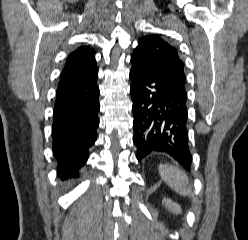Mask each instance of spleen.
<instances>
[{
	"label": "spleen",
	"mask_w": 248,
	"mask_h": 240,
	"mask_svg": "<svg viewBox=\"0 0 248 240\" xmlns=\"http://www.w3.org/2000/svg\"><path fill=\"white\" fill-rule=\"evenodd\" d=\"M158 171L163 181L175 192L187 196L190 193L188 177L184 171L174 166L159 165Z\"/></svg>",
	"instance_id": "3e777b00"
}]
</instances>
